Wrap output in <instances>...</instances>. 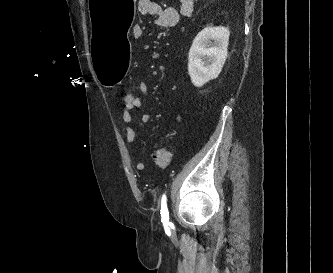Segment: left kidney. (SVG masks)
<instances>
[{"instance_id":"1","label":"left kidney","mask_w":333,"mask_h":273,"mask_svg":"<svg viewBox=\"0 0 333 273\" xmlns=\"http://www.w3.org/2000/svg\"><path fill=\"white\" fill-rule=\"evenodd\" d=\"M229 35L226 27H206L193 40L188 71L196 87L203 86L220 74L227 58Z\"/></svg>"}]
</instances>
